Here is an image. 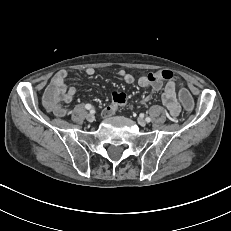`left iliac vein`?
<instances>
[{
	"label": "left iliac vein",
	"mask_w": 231,
	"mask_h": 231,
	"mask_svg": "<svg viewBox=\"0 0 231 231\" xmlns=\"http://www.w3.org/2000/svg\"><path fill=\"white\" fill-rule=\"evenodd\" d=\"M138 124L142 127L146 126V120L143 118H138Z\"/></svg>",
	"instance_id": "4c4485c4"
}]
</instances>
